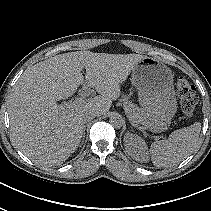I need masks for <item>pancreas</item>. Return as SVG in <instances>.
Masks as SVG:
<instances>
[{"label":"pancreas","instance_id":"pancreas-1","mask_svg":"<svg viewBox=\"0 0 211 211\" xmlns=\"http://www.w3.org/2000/svg\"><path fill=\"white\" fill-rule=\"evenodd\" d=\"M121 101L123 102L124 110L129 120L132 122H141L143 112H141L139 107L130 100V97L122 96Z\"/></svg>","mask_w":211,"mask_h":211}]
</instances>
